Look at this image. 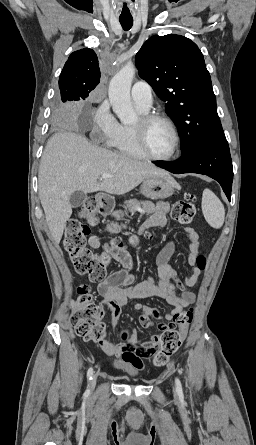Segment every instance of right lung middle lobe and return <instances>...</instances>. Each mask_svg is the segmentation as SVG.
Segmentation results:
<instances>
[{
    "mask_svg": "<svg viewBox=\"0 0 256 445\" xmlns=\"http://www.w3.org/2000/svg\"><path fill=\"white\" fill-rule=\"evenodd\" d=\"M79 99H76L72 95H69L67 93H61V101L62 103L58 107V109L54 112V119L56 121H63L68 117L69 113V103L71 101H77Z\"/></svg>",
    "mask_w": 256,
    "mask_h": 445,
    "instance_id": "obj_1",
    "label": "right lung middle lobe"
}]
</instances>
